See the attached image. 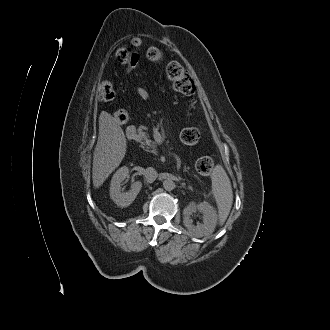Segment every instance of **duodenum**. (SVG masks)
Masks as SVG:
<instances>
[{
	"mask_svg": "<svg viewBox=\"0 0 330 330\" xmlns=\"http://www.w3.org/2000/svg\"><path fill=\"white\" fill-rule=\"evenodd\" d=\"M135 132H136V130H135L134 127H129L127 129V137H128V139L132 140L134 138Z\"/></svg>",
	"mask_w": 330,
	"mask_h": 330,
	"instance_id": "410a0bca",
	"label": "duodenum"
}]
</instances>
